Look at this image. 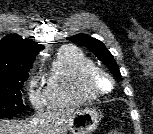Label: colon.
<instances>
[{"instance_id": "1", "label": "colon", "mask_w": 153, "mask_h": 134, "mask_svg": "<svg viewBox=\"0 0 153 134\" xmlns=\"http://www.w3.org/2000/svg\"><path fill=\"white\" fill-rule=\"evenodd\" d=\"M108 134H122V133L116 132V131H112V132H109Z\"/></svg>"}]
</instances>
